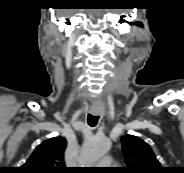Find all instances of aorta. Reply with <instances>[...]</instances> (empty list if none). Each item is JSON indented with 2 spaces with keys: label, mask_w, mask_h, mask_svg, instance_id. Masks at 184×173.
Segmentation results:
<instances>
[{
  "label": "aorta",
  "mask_w": 184,
  "mask_h": 173,
  "mask_svg": "<svg viewBox=\"0 0 184 173\" xmlns=\"http://www.w3.org/2000/svg\"><path fill=\"white\" fill-rule=\"evenodd\" d=\"M110 149V142L107 138L93 136L88 138L81 149L80 163L82 165H93L103 157Z\"/></svg>",
  "instance_id": "obj_1"
}]
</instances>
